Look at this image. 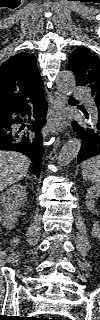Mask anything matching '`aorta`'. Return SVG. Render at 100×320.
I'll use <instances>...</instances> for the list:
<instances>
[{
	"label": "aorta",
	"instance_id": "aorta-1",
	"mask_svg": "<svg viewBox=\"0 0 100 320\" xmlns=\"http://www.w3.org/2000/svg\"><path fill=\"white\" fill-rule=\"evenodd\" d=\"M56 84L61 93L69 95L72 93L76 85L75 76L69 70H62L57 75ZM81 145V140L78 138H72L67 141L59 153L58 164L61 166H67L71 163V161L78 155Z\"/></svg>",
	"mask_w": 100,
	"mask_h": 320
}]
</instances>
